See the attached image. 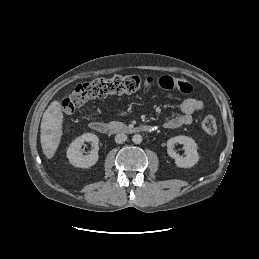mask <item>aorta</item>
<instances>
[{
    "label": "aorta",
    "instance_id": "1",
    "mask_svg": "<svg viewBox=\"0 0 259 259\" xmlns=\"http://www.w3.org/2000/svg\"><path fill=\"white\" fill-rule=\"evenodd\" d=\"M132 141L133 143L135 144H140L142 142V136L140 134H135L133 137H132Z\"/></svg>",
    "mask_w": 259,
    "mask_h": 259
}]
</instances>
